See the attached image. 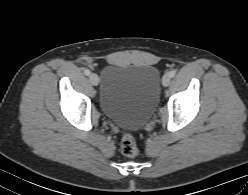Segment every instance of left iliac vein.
I'll return each instance as SVG.
<instances>
[{"instance_id":"left-iliac-vein-1","label":"left iliac vein","mask_w":248,"mask_h":195,"mask_svg":"<svg viewBox=\"0 0 248 195\" xmlns=\"http://www.w3.org/2000/svg\"><path fill=\"white\" fill-rule=\"evenodd\" d=\"M171 82V78L168 74L164 75L162 78V84L163 86H168Z\"/></svg>"}]
</instances>
